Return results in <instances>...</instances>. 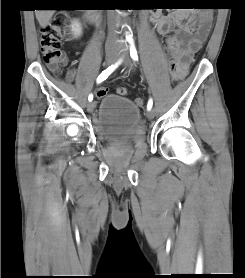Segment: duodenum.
I'll return each instance as SVG.
<instances>
[{"label": "duodenum", "instance_id": "1", "mask_svg": "<svg viewBox=\"0 0 245 278\" xmlns=\"http://www.w3.org/2000/svg\"><path fill=\"white\" fill-rule=\"evenodd\" d=\"M86 19L91 25H98L99 23V17L95 12L88 13Z\"/></svg>", "mask_w": 245, "mask_h": 278}]
</instances>
